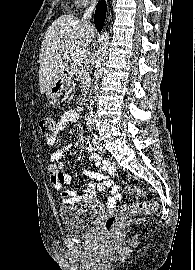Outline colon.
<instances>
[{"mask_svg":"<svg viewBox=\"0 0 195 270\" xmlns=\"http://www.w3.org/2000/svg\"><path fill=\"white\" fill-rule=\"evenodd\" d=\"M39 127L43 135L51 136L55 131V121L51 117H44L39 122ZM126 194H135L138 197L143 195L142 190L135 186L124 188ZM157 209L154 201H138L133 204L124 205L110 214L103 222L102 229L105 233L110 234L115 227L127 217L136 213H152Z\"/></svg>","mask_w":195,"mask_h":270,"instance_id":"1","label":"colon"}]
</instances>
